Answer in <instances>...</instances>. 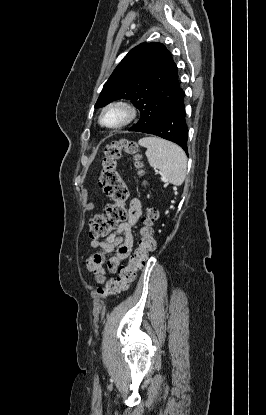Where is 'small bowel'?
Returning a JSON list of instances; mask_svg holds the SVG:
<instances>
[{
    "label": "small bowel",
    "instance_id": "obj_1",
    "mask_svg": "<svg viewBox=\"0 0 266 415\" xmlns=\"http://www.w3.org/2000/svg\"><path fill=\"white\" fill-rule=\"evenodd\" d=\"M142 214L141 202L138 198L130 201L126 221L119 224L114 233L105 239H94L90 242L93 249H100L86 260V268L97 282L103 283L107 273H116L121 263L129 256L133 247V228ZM115 252L113 256H110Z\"/></svg>",
    "mask_w": 266,
    "mask_h": 415
}]
</instances>
